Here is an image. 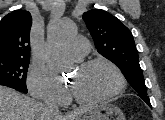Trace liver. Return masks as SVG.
Listing matches in <instances>:
<instances>
[{
    "instance_id": "liver-1",
    "label": "liver",
    "mask_w": 165,
    "mask_h": 120,
    "mask_svg": "<svg viewBox=\"0 0 165 120\" xmlns=\"http://www.w3.org/2000/svg\"><path fill=\"white\" fill-rule=\"evenodd\" d=\"M48 111L51 120H75L85 109L61 116L34 99L11 88L0 86V120H46Z\"/></svg>"
}]
</instances>
